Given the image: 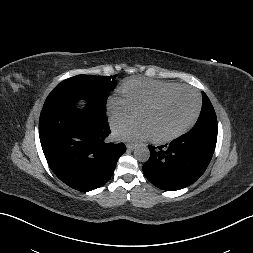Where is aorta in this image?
Wrapping results in <instances>:
<instances>
[{
	"instance_id": "762f6f07",
	"label": "aorta",
	"mask_w": 253,
	"mask_h": 253,
	"mask_svg": "<svg viewBox=\"0 0 253 253\" xmlns=\"http://www.w3.org/2000/svg\"><path fill=\"white\" fill-rule=\"evenodd\" d=\"M134 156L138 161L146 162L150 157V151L146 145L139 144L134 149Z\"/></svg>"
}]
</instances>
